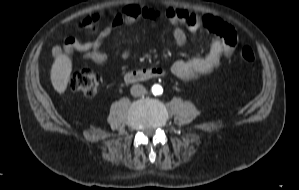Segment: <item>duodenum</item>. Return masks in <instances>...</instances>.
<instances>
[{
  "label": "duodenum",
  "instance_id": "410a0bca",
  "mask_svg": "<svg viewBox=\"0 0 299 190\" xmlns=\"http://www.w3.org/2000/svg\"><path fill=\"white\" fill-rule=\"evenodd\" d=\"M164 71L159 68H144L129 71L125 74L124 78L127 83H136L152 78L164 76Z\"/></svg>",
  "mask_w": 299,
  "mask_h": 190
}]
</instances>
